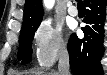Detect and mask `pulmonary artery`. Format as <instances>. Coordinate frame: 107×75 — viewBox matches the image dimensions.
I'll list each match as a JSON object with an SVG mask.
<instances>
[{
	"mask_svg": "<svg viewBox=\"0 0 107 75\" xmlns=\"http://www.w3.org/2000/svg\"><path fill=\"white\" fill-rule=\"evenodd\" d=\"M68 12L71 16H77L78 15V9L72 3H69V5H68Z\"/></svg>",
	"mask_w": 107,
	"mask_h": 75,
	"instance_id": "obj_1",
	"label": "pulmonary artery"
}]
</instances>
